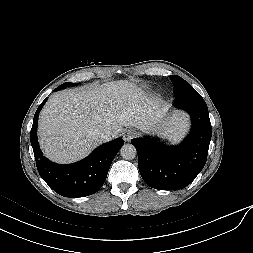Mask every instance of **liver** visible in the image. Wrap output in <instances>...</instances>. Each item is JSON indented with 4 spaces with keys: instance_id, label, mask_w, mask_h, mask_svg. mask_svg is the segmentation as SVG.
<instances>
[{
    "instance_id": "6515ba94",
    "label": "liver",
    "mask_w": 253,
    "mask_h": 253,
    "mask_svg": "<svg viewBox=\"0 0 253 253\" xmlns=\"http://www.w3.org/2000/svg\"><path fill=\"white\" fill-rule=\"evenodd\" d=\"M166 110L126 80L63 90L51 96L40 113V147L50 160L72 163L102 143L97 131L110 129L115 137L125 126L177 137L186 121L178 116L165 119Z\"/></svg>"
}]
</instances>
